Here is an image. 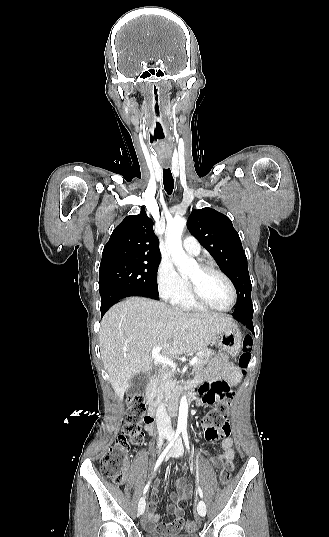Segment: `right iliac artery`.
Instances as JSON below:
<instances>
[{
  "mask_svg": "<svg viewBox=\"0 0 329 537\" xmlns=\"http://www.w3.org/2000/svg\"><path fill=\"white\" fill-rule=\"evenodd\" d=\"M181 429H177L176 430V433H175V436L174 438L171 440V442L168 444V446L165 448V450L160 454L155 466H154V470H153V475L155 474V472L157 471V468L159 467V465L162 463L163 459L165 458L166 454L168 453V451L171 449V447L174 445V442L176 441V439L179 437L180 433H181ZM149 486H150V481L145 485L144 487V490H143V494H146L148 489H149Z\"/></svg>",
  "mask_w": 329,
  "mask_h": 537,
  "instance_id": "1",
  "label": "right iliac artery"
}]
</instances>
